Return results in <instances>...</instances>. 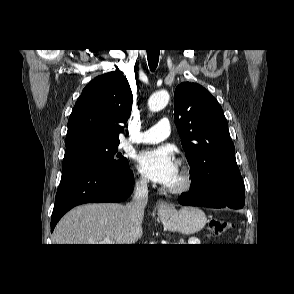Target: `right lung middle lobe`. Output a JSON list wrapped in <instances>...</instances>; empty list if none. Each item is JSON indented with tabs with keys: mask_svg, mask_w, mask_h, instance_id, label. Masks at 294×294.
<instances>
[{
	"mask_svg": "<svg viewBox=\"0 0 294 294\" xmlns=\"http://www.w3.org/2000/svg\"><path fill=\"white\" fill-rule=\"evenodd\" d=\"M119 142L83 139L66 144L62 173L79 167H98L122 171L128 160L118 152Z\"/></svg>",
	"mask_w": 294,
	"mask_h": 294,
	"instance_id": "1",
	"label": "right lung middle lobe"
}]
</instances>
